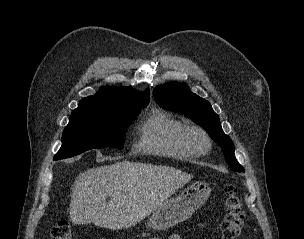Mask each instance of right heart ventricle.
<instances>
[{
	"label": "right heart ventricle",
	"mask_w": 304,
	"mask_h": 239,
	"mask_svg": "<svg viewBox=\"0 0 304 239\" xmlns=\"http://www.w3.org/2000/svg\"><path fill=\"white\" fill-rule=\"evenodd\" d=\"M184 124L171 114L154 110L140 121L137 127L140 150L168 158L189 159L177 140V133Z\"/></svg>",
	"instance_id": "e07e8e85"
}]
</instances>
